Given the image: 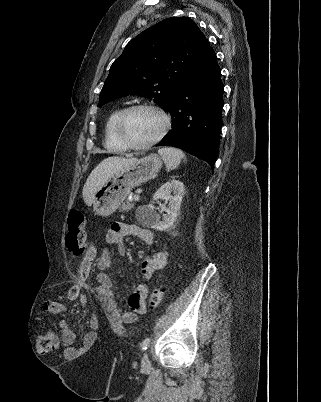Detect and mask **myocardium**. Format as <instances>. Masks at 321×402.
<instances>
[{
	"label": "myocardium",
	"mask_w": 321,
	"mask_h": 402,
	"mask_svg": "<svg viewBox=\"0 0 321 402\" xmlns=\"http://www.w3.org/2000/svg\"><path fill=\"white\" fill-rule=\"evenodd\" d=\"M142 109L151 110V111H154L157 114H159L160 117L162 118L163 126H162V129L159 132V134L154 139H152L144 144H135L126 137V135L123 131V126H124L126 117L131 112H133L135 110H142ZM170 126H171V119H170L169 115L162 108H160L159 106H156L154 104L139 103V104H134V105L128 106L121 111V113L119 114V116L116 120L115 131H116V135H117L118 139L125 146L126 149L142 151V150H147V149L153 147L154 145H156L158 142H160L163 139V137L166 135L168 130L170 129Z\"/></svg>",
	"instance_id": "1"
}]
</instances>
